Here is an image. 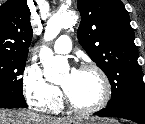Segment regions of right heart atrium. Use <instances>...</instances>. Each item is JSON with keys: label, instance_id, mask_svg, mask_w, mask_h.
<instances>
[{"label": "right heart atrium", "instance_id": "right-heart-atrium-1", "mask_svg": "<svg viewBox=\"0 0 145 124\" xmlns=\"http://www.w3.org/2000/svg\"><path fill=\"white\" fill-rule=\"evenodd\" d=\"M22 83L27 101L36 109L44 112H55L60 109L61 91L44 78L38 67L27 66Z\"/></svg>", "mask_w": 145, "mask_h": 124}]
</instances>
